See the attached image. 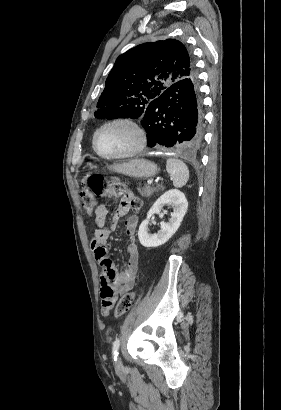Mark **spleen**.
I'll list each match as a JSON object with an SVG mask.
<instances>
[{"mask_svg": "<svg viewBox=\"0 0 281 410\" xmlns=\"http://www.w3.org/2000/svg\"><path fill=\"white\" fill-rule=\"evenodd\" d=\"M166 170L170 175L174 187L180 188L187 183L189 170L183 161L175 158L167 159Z\"/></svg>", "mask_w": 281, "mask_h": 410, "instance_id": "obj_1", "label": "spleen"}]
</instances>
